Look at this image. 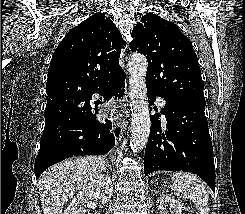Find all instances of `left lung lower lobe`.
Instances as JSON below:
<instances>
[{
  "label": "left lung lower lobe",
  "mask_w": 245,
  "mask_h": 214,
  "mask_svg": "<svg viewBox=\"0 0 245 214\" xmlns=\"http://www.w3.org/2000/svg\"><path fill=\"white\" fill-rule=\"evenodd\" d=\"M149 103L158 95L166 101L162 113L166 129L161 128L159 113L151 118V129L145 150V176L158 170L187 171L197 174L215 191L213 148L205 117V102L196 100L172 102L148 89Z\"/></svg>",
  "instance_id": "0a47b994"
}]
</instances>
